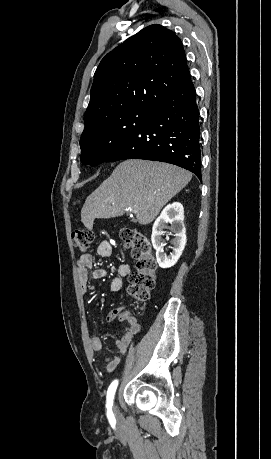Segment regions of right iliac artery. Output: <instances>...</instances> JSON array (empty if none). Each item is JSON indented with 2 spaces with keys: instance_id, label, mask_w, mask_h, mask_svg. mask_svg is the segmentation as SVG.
<instances>
[{
  "instance_id": "82829eb1",
  "label": "right iliac artery",
  "mask_w": 271,
  "mask_h": 459,
  "mask_svg": "<svg viewBox=\"0 0 271 459\" xmlns=\"http://www.w3.org/2000/svg\"><path fill=\"white\" fill-rule=\"evenodd\" d=\"M117 386H118V381L114 380L109 386L108 391H107V402H106L107 417L109 419V422L112 425L115 423V418L112 413V405H113V399H114V395H115Z\"/></svg>"
}]
</instances>
